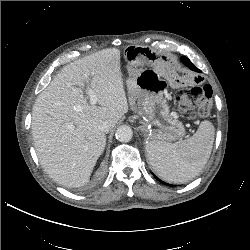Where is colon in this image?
Masks as SVG:
<instances>
[{
  "label": "colon",
  "instance_id": "obj_1",
  "mask_svg": "<svg viewBox=\"0 0 250 250\" xmlns=\"http://www.w3.org/2000/svg\"><path fill=\"white\" fill-rule=\"evenodd\" d=\"M181 111L192 117H206L212 108V89L210 86H194L179 92L176 97Z\"/></svg>",
  "mask_w": 250,
  "mask_h": 250
}]
</instances>
